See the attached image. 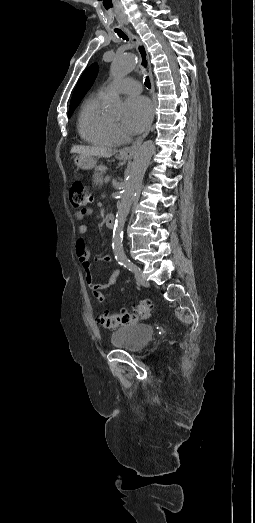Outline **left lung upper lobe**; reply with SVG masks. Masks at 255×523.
<instances>
[{
    "mask_svg": "<svg viewBox=\"0 0 255 523\" xmlns=\"http://www.w3.org/2000/svg\"><path fill=\"white\" fill-rule=\"evenodd\" d=\"M98 73V65L96 63L92 64L86 71L82 74L79 79L76 88L74 90L73 96L70 101L69 107V117L72 115L75 108L79 105L82 98L85 96L87 91L91 88L94 83V80Z\"/></svg>",
    "mask_w": 255,
    "mask_h": 523,
    "instance_id": "obj_1",
    "label": "left lung upper lobe"
}]
</instances>
